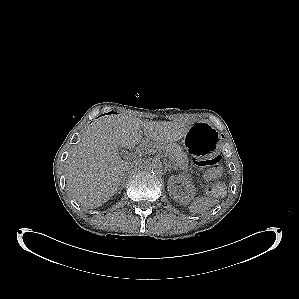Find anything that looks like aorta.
<instances>
[{"mask_svg":"<svg viewBox=\"0 0 299 299\" xmlns=\"http://www.w3.org/2000/svg\"><path fill=\"white\" fill-rule=\"evenodd\" d=\"M162 162L157 158L147 159L144 163V169L150 173H158L162 170Z\"/></svg>","mask_w":299,"mask_h":299,"instance_id":"aorta-1","label":"aorta"}]
</instances>
